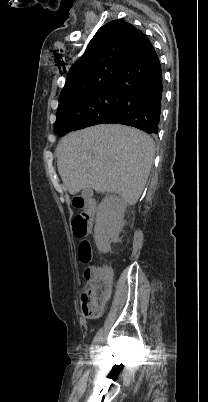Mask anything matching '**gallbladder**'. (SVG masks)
I'll list each match as a JSON object with an SVG mask.
<instances>
[{
    "label": "gallbladder",
    "instance_id": "1",
    "mask_svg": "<svg viewBox=\"0 0 208 402\" xmlns=\"http://www.w3.org/2000/svg\"><path fill=\"white\" fill-rule=\"evenodd\" d=\"M82 196L84 199H91L93 196L92 188H87V190H84Z\"/></svg>",
    "mask_w": 208,
    "mask_h": 402
}]
</instances>
